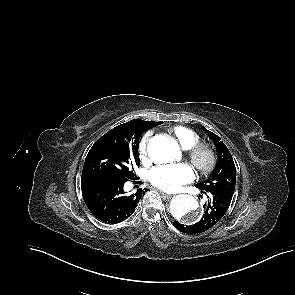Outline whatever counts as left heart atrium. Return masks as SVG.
<instances>
[{
    "mask_svg": "<svg viewBox=\"0 0 295 295\" xmlns=\"http://www.w3.org/2000/svg\"><path fill=\"white\" fill-rule=\"evenodd\" d=\"M194 178V170L186 163L161 165L152 169L149 174L151 184L167 192L178 191Z\"/></svg>",
    "mask_w": 295,
    "mask_h": 295,
    "instance_id": "obj_1",
    "label": "left heart atrium"
}]
</instances>
